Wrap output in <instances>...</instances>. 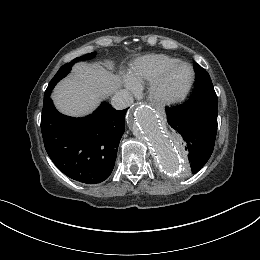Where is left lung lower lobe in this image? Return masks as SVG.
Wrapping results in <instances>:
<instances>
[{
  "instance_id": "1",
  "label": "left lung lower lobe",
  "mask_w": 260,
  "mask_h": 260,
  "mask_svg": "<svg viewBox=\"0 0 260 260\" xmlns=\"http://www.w3.org/2000/svg\"><path fill=\"white\" fill-rule=\"evenodd\" d=\"M167 122L177 136L194 174L209 160L217 134V96L203 95L167 109Z\"/></svg>"
}]
</instances>
